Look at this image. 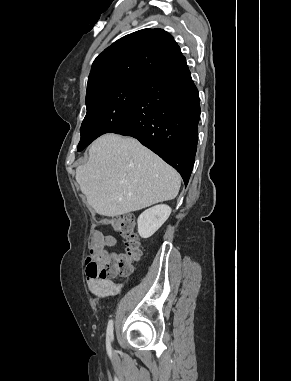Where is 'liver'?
Wrapping results in <instances>:
<instances>
[{"instance_id": "liver-1", "label": "liver", "mask_w": 291, "mask_h": 381, "mask_svg": "<svg viewBox=\"0 0 291 381\" xmlns=\"http://www.w3.org/2000/svg\"><path fill=\"white\" fill-rule=\"evenodd\" d=\"M76 181L88 204L114 217L174 199L181 179L175 169L131 137L105 134L76 169Z\"/></svg>"}]
</instances>
